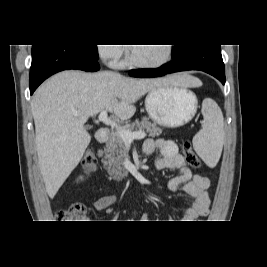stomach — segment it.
Listing matches in <instances>:
<instances>
[{
    "label": "stomach",
    "mask_w": 267,
    "mask_h": 267,
    "mask_svg": "<svg viewBox=\"0 0 267 267\" xmlns=\"http://www.w3.org/2000/svg\"><path fill=\"white\" fill-rule=\"evenodd\" d=\"M198 100L187 87L169 85L148 92L145 99L149 118L165 127H180L196 114Z\"/></svg>",
    "instance_id": "obj_1"
}]
</instances>
